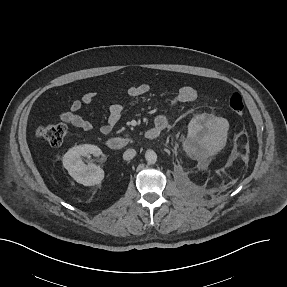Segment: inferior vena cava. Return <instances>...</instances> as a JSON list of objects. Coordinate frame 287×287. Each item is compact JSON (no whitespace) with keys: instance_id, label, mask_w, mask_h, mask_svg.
<instances>
[{"instance_id":"obj_1","label":"inferior vena cava","mask_w":287,"mask_h":287,"mask_svg":"<svg viewBox=\"0 0 287 287\" xmlns=\"http://www.w3.org/2000/svg\"><path fill=\"white\" fill-rule=\"evenodd\" d=\"M135 155L136 151L134 149H127L123 154V159L128 161L133 159Z\"/></svg>"}]
</instances>
